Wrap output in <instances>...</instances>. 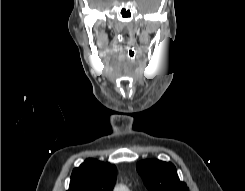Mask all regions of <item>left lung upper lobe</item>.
Listing matches in <instances>:
<instances>
[{
	"instance_id": "1",
	"label": "left lung upper lobe",
	"mask_w": 245,
	"mask_h": 191,
	"mask_svg": "<svg viewBox=\"0 0 245 191\" xmlns=\"http://www.w3.org/2000/svg\"><path fill=\"white\" fill-rule=\"evenodd\" d=\"M137 171L150 191H189L186 184L179 180L172 163L144 160L137 164Z\"/></svg>"
}]
</instances>
